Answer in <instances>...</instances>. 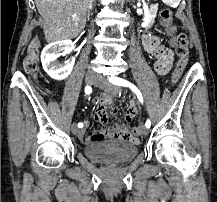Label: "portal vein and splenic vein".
I'll return each instance as SVG.
<instances>
[{"label":"portal vein and splenic vein","instance_id":"18ae733b","mask_svg":"<svg viewBox=\"0 0 217 202\" xmlns=\"http://www.w3.org/2000/svg\"><path fill=\"white\" fill-rule=\"evenodd\" d=\"M73 20H75V22H77V18H76V16H74Z\"/></svg>","mask_w":217,"mask_h":202}]
</instances>
